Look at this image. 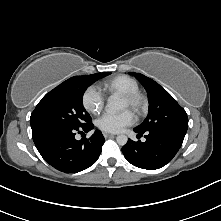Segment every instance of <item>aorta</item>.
<instances>
[{
  "mask_svg": "<svg viewBox=\"0 0 221 221\" xmlns=\"http://www.w3.org/2000/svg\"><path fill=\"white\" fill-rule=\"evenodd\" d=\"M124 109V105L120 99L112 96L108 99L105 110L107 113L114 114ZM119 145L124 146L127 144L128 138L126 135H119L116 138Z\"/></svg>",
  "mask_w": 221,
  "mask_h": 221,
  "instance_id": "aorta-1",
  "label": "aorta"
}]
</instances>
